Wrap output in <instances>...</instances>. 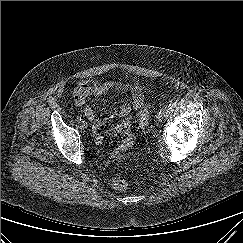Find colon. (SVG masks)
I'll return each mask as SVG.
<instances>
[{"mask_svg":"<svg viewBox=\"0 0 243 243\" xmlns=\"http://www.w3.org/2000/svg\"><path fill=\"white\" fill-rule=\"evenodd\" d=\"M148 108L149 106L143 107L138 113V125L142 127L148 120ZM133 145V138L126 139L120 147L116 150L114 157L120 158L121 154L128 150ZM112 186L116 190H124L127 187V182L121 177H115L112 180Z\"/></svg>","mask_w":243,"mask_h":243,"instance_id":"obj_1","label":"colon"}]
</instances>
